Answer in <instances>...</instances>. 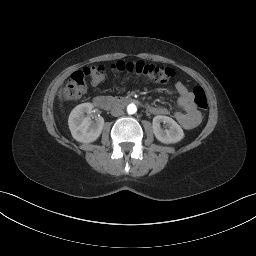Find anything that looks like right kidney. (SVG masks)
I'll list each match as a JSON object with an SVG mask.
<instances>
[{"instance_id": "obj_1", "label": "right kidney", "mask_w": 256, "mask_h": 256, "mask_svg": "<svg viewBox=\"0 0 256 256\" xmlns=\"http://www.w3.org/2000/svg\"><path fill=\"white\" fill-rule=\"evenodd\" d=\"M93 107L91 103H82L77 105L69 115V129L73 138L78 142H94L102 132L104 126L103 117H97L95 121H92L90 117H86V114L92 113Z\"/></svg>"}]
</instances>
